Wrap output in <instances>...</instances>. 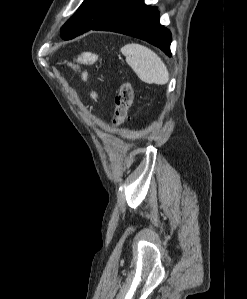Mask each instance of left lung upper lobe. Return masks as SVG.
I'll list each match as a JSON object with an SVG mask.
<instances>
[{"mask_svg":"<svg viewBox=\"0 0 247 299\" xmlns=\"http://www.w3.org/2000/svg\"><path fill=\"white\" fill-rule=\"evenodd\" d=\"M126 0H84L78 10L61 28V37L72 39L89 31Z\"/></svg>","mask_w":247,"mask_h":299,"instance_id":"obj_1","label":"left lung upper lobe"}]
</instances>
